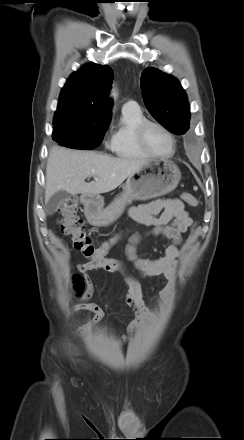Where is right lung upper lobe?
<instances>
[{"instance_id": "1", "label": "right lung upper lobe", "mask_w": 244, "mask_h": 440, "mask_svg": "<svg viewBox=\"0 0 244 440\" xmlns=\"http://www.w3.org/2000/svg\"><path fill=\"white\" fill-rule=\"evenodd\" d=\"M113 76L109 66L98 64H86L74 72L61 91L54 122L78 120L109 123L111 103L107 94Z\"/></svg>"}]
</instances>
